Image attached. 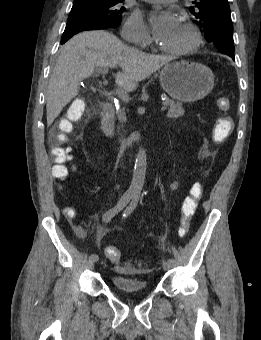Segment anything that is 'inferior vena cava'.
Listing matches in <instances>:
<instances>
[{
  "instance_id": "602c4592",
  "label": "inferior vena cava",
  "mask_w": 261,
  "mask_h": 340,
  "mask_svg": "<svg viewBox=\"0 0 261 340\" xmlns=\"http://www.w3.org/2000/svg\"><path fill=\"white\" fill-rule=\"evenodd\" d=\"M123 155V149H120V156Z\"/></svg>"
}]
</instances>
